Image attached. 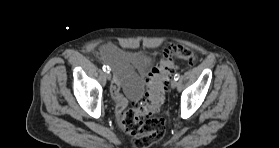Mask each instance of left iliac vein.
Instances as JSON below:
<instances>
[{
	"instance_id": "4c4485c4",
	"label": "left iliac vein",
	"mask_w": 279,
	"mask_h": 148,
	"mask_svg": "<svg viewBox=\"0 0 279 148\" xmlns=\"http://www.w3.org/2000/svg\"><path fill=\"white\" fill-rule=\"evenodd\" d=\"M170 86L172 89L176 88L177 87V81L175 79H172L171 83H170Z\"/></svg>"
}]
</instances>
